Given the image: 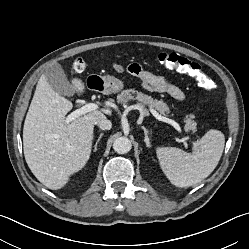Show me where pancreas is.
I'll return each instance as SVG.
<instances>
[{"label":"pancreas","instance_id":"pancreas-1","mask_svg":"<svg viewBox=\"0 0 249 249\" xmlns=\"http://www.w3.org/2000/svg\"><path fill=\"white\" fill-rule=\"evenodd\" d=\"M130 100H137L140 102V106L144 109L145 106L157 110L160 114L169 113V107L163 101L153 99L151 96L143 94L142 92L135 91L133 89L123 90L117 96V102L126 103ZM193 116L190 115L186 119V130L196 131L197 123L192 120Z\"/></svg>","mask_w":249,"mask_h":249}]
</instances>
